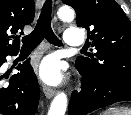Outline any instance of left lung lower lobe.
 <instances>
[{
  "instance_id": "left-lung-lower-lobe-1",
  "label": "left lung lower lobe",
  "mask_w": 131,
  "mask_h": 115,
  "mask_svg": "<svg viewBox=\"0 0 131 115\" xmlns=\"http://www.w3.org/2000/svg\"><path fill=\"white\" fill-rule=\"evenodd\" d=\"M77 69L83 76L82 87L80 92L72 93L68 115H87L116 102L131 101L130 82L105 81L88 75L79 67Z\"/></svg>"
}]
</instances>
